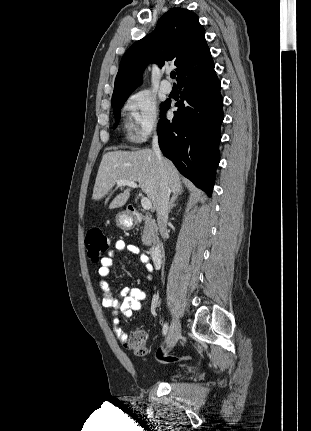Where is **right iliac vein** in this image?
Here are the masks:
<instances>
[{
	"mask_svg": "<svg viewBox=\"0 0 311 431\" xmlns=\"http://www.w3.org/2000/svg\"><path fill=\"white\" fill-rule=\"evenodd\" d=\"M181 335V323L178 317H175L172 321L169 334L167 337V346L169 348L174 347V345L177 343L179 337Z\"/></svg>",
	"mask_w": 311,
	"mask_h": 431,
	"instance_id": "1",
	"label": "right iliac vein"
}]
</instances>
